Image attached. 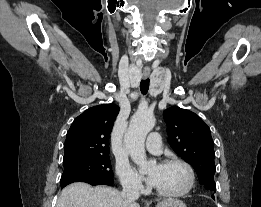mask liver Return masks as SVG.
<instances>
[{"label": "liver", "mask_w": 261, "mask_h": 207, "mask_svg": "<svg viewBox=\"0 0 261 207\" xmlns=\"http://www.w3.org/2000/svg\"><path fill=\"white\" fill-rule=\"evenodd\" d=\"M56 207H140L128 201L122 193L107 186L91 187L83 182L66 186L60 193Z\"/></svg>", "instance_id": "liver-1"}]
</instances>
